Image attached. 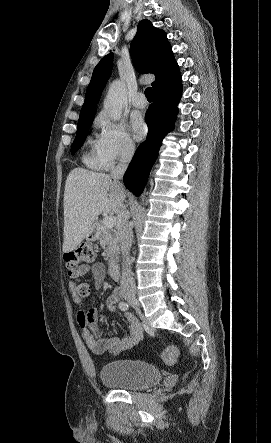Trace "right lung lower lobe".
Returning <instances> with one entry per match:
<instances>
[{
	"mask_svg": "<svg viewBox=\"0 0 271 443\" xmlns=\"http://www.w3.org/2000/svg\"><path fill=\"white\" fill-rule=\"evenodd\" d=\"M182 79L153 91L154 102L146 112L148 135L139 145L124 175L125 186L140 196L152 165L154 164L164 136L173 129L172 123L178 113L177 105L182 94Z\"/></svg>",
	"mask_w": 271,
	"mask_h": 443,
	"instance_id": "right-lung-lower-lobe-1",
	"label": "right lung lower lobe"
}]
</instances>
